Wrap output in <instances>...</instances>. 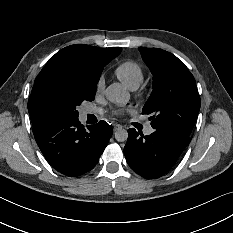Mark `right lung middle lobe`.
<instances>
[{
  "mask_svg": "<svg viewBox=\"0 0 233 233\" xmlns=\"http://www.w3.org/2000/svg\"><path fill=\"white\" fill-rule=\"evenodd\" d=\"M99 78L91 81L52 75L41 87L36 101V116L43 122L78 119L77 106L95 98Z\"/></svg>",
  "mask_w": 233,
  "mask_h": 233,
  "instance_id": "obj_1",
  "label": "right lung middle lobe"
}]
</instances>
